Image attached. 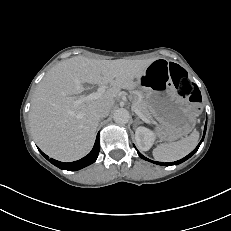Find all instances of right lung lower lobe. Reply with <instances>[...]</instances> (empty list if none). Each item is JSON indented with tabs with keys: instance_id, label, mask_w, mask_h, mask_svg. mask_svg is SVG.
<instances>
[{
	"instance_id": "1",
	"label": "right lung lower lobe",
	"mask_w": 231,
	"mask_h": 231,
	"mask_svg": "<svg viewBox=\"0 0 231 231\" xmlns=\"http://www.w3.org/2000/svg\"><path fill=\"white\" fill-rule=\"evenodd\" d=\"M99 149H100V144H99V133H98L92 151L87 156H85L84 158H82L78 161L70 162V163L60 162V161L54 160L52 158H50L49 161L53 165L57 166L60 169L69 170V171H76V170L82 169V168L92 164L93 162H95L97 157H98ZM39 151L46 159L49 158L41 150H39Z\"/></svg>"
}]
</instances>
